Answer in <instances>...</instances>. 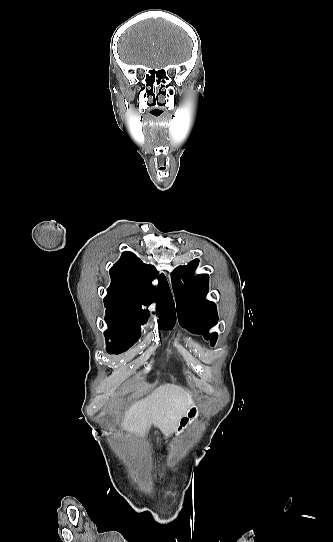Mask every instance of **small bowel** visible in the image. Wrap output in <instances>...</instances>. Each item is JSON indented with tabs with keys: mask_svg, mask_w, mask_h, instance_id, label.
Segmentation results:
<instances>
[{
	"mask_svg": "<svg viewBox=\"0 0 333 542\" xmlns=\"http://www.w3.org/2000/svg\"><path fill=\"white\" fill-rule=\"evenodd\" d=\"M195 414H196V410L194 408L190 409L187 412V416L180 421V423H179V425L177 427V432L178 433L182 432L186 428L187 424L189 423V418L192 417Z\"/></svg>",
	"mask_w": 333,
	"mask_h": 542,
	"instance_id": "small-bowel-1",
	"label": "small bowel"
}]
</instances>
